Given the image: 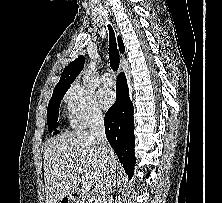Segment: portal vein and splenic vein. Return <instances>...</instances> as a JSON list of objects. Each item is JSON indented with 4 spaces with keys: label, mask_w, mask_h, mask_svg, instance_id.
I'll return each instance as SVG.
<instances>
[{
    "label": "portal vein and splenic vein",
    "mask_w": 222,
    "mask_h": 203,
    "mask_svg": "<svg viewBox=\"0 0 222 203\" xmlns=\"http://www.w3.org/2000/svg\"><path fill=\"white\" fill-rule=\"evenodd\" d=\"M79 173L80 174H83V170H82V168H79ZM83 183H82V186H83V188L85 189V190H90L91 189V184L89 183V182H87V181H82Z\"/></svg>",
    "instance_id": "obj_1"
}]
</instances>
